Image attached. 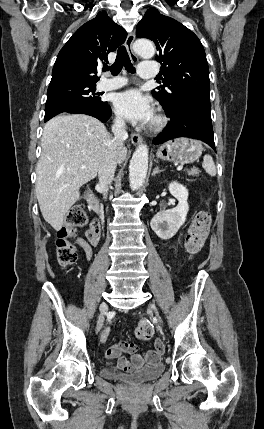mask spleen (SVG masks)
Masks as SVG:
<instances>
[{"label":"spleen","instance_id":"1","mask_svg":"<svg viewBox=\"0 0 264 429\" xmlns=\"http://www.w3.org/2000/svg\"><path fill=\"white\" fill-rule=\"evenodd\" d=\"M202 166L205 169L206 173H208L209 175H211V176L216 175V167H215V164H214L212 157L209 154H206L203 157Z\"/></svg>","mask_w":264,"mask_h":429}]
</instances>
